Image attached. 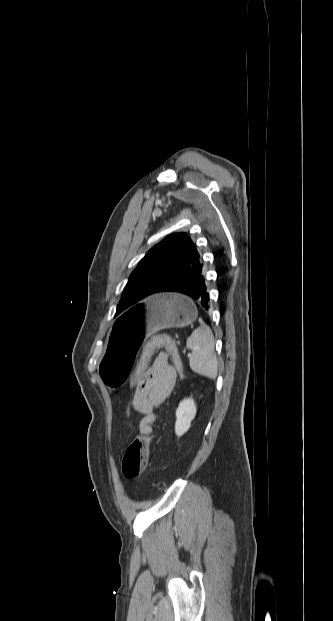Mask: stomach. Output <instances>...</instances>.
Returning <instances> with one entry per match:
<instances>
[{
	"instance_id": "stomach-1",
	"label": "stomach",
	"mask_w": 333,
	"mask_h": 621,
	"mask_svg": "<svg viewBox=\"0 0 333 621\" xmlns=\"http://www.w3.org/2000/svg\"><path fill=\"white\" fill-rule=\"evenodd\" d=\"M197 318L189 300L172 293L154 295L115 322L103 350L99 372L109 391H121L142 354L144 337L152 331L184 327Z\"/></svg>"
}]
</instances>
